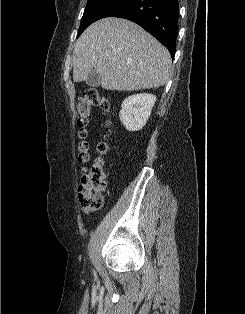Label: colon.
Here are the masks:
<instances>
[{
    "mask_svg": "<svg viewBox=\"0 0 245 314\" xmlns=\"http://www.w3.org/2000/svg\"><path fill=\"white\" fill-rule=\"evenodd\" d=\"M98 107L104 112H109L111 105L107 97L100 94L96 89H88L77 105V135L79 138L78 162L82 165L83 176L78 191V199L82 210L86 214L97 211L101 205L102 192L106 186V171L103 158L97 157L92 162L90 156V144L87 140V125L91 114V109ZM109 145L106 140L101 141L97 150L100 155L108 151Z\"/></svg>",
    "mask_w": 245,
    "mask_h": 314,
    "instance_id": "obj_1",
    "label": "colon"
}]
</instances>
